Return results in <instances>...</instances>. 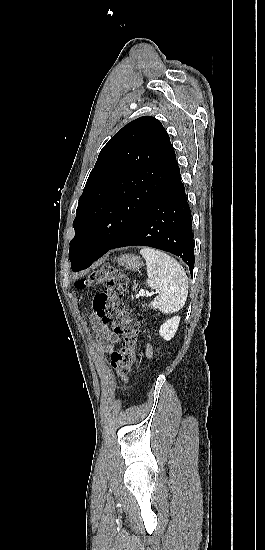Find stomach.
Returning <instances> with one entry per match:
<instances>
[{"label": "stomach", "instance_id": "stomach-1", "mask_svg": "<svg viewBox=\"0 0 265 550\" xmlns=\"http://www.w3.org/2000/svg\"><path fill=\"white\" fill-rule=\"evenodd\" d=\"M119 265L129 270H139L142 266L141 259L136 255L124 254L117 259Z\"/></svg>", "mask_w": 265, "mask_h": 550}]
</instances>
